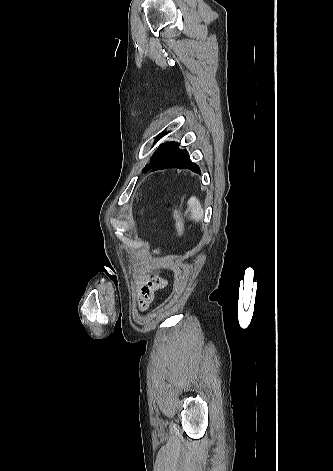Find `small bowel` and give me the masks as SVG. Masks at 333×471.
<instances>
[{
  "mask_svg": "<svg viewBox=\"0 0 333 471\" xmlns=\"http://www.w3.org/2000/svg\"><path fill=\"white\" fill-rule=\"evenodd\" d=\"M167 285V280L160 275L158 270L150 269L143 272L136 280L133 290L139 310L148 309L154 301L156 292L166 288Z\"/></svg>",
  "mask_w": 333,
  "mask_h": 471,
  "instance_id": "c3829d8e",
  "label": "small bowel"
}]
</instances>
